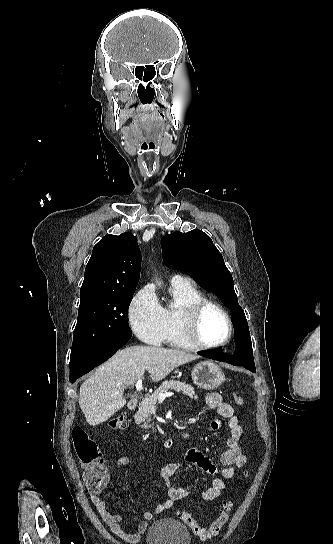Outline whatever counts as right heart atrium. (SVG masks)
I'll use <instances>...</instances> for the list:
<instances>
[{
	"mask_svg": "<svg viewBox=\"0 0 333 544\" xmlns=\"http://www.w3.org/2000/svg\"><path fill=\"white\" fill-rule=\"evenodd\" d=\"M128 318L132 331L143 342L160 345L165 340L166 320L157 295L145 286L133 297Z\"/></svg>",
	"mask_w": 333,
	"mask_h": 544,
	"instance_id": "obj_1",
	"label": "right heart atrium"
}]
</instances>
